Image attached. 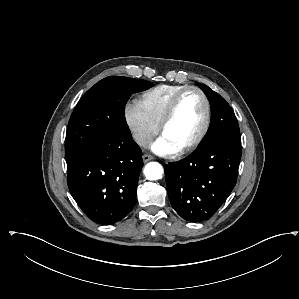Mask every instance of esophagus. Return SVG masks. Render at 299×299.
<instances>
[{
  "mask_svg": "<svg viewBox=\"0 0 299 299\" xmlns=\"http://www.w3.org/2000/svg\"><path fill=\"white\" fill-rule=\"evenodd\" d=\"M142 158H143V161H144L145 163H147V162H149V161H151V160L154 159V157H153L152 155H149V154H144V155L142 156Z\"/></svg>",
  "mask_w": 299,
  "mask_h": 299,
  "instance_id": "34e87169",
  "label": "esophagus"
}]
</instances>
